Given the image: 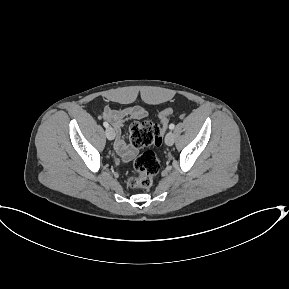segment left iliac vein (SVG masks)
I'll use <instances>...</instances> for the list:
<instances>
[{
    "label": "left iliac vein",
    "instance_id": "left-iliac-vein-1",
    "mask_svg": "<svg viewBox=\"0 0 289 289\" xmlns=\"http://www.w3.org/2000/svg\"><path fill=\"white\" fill-rule=\"evenodd\" d=\"M174 140H175V136L173 134V132H168L166 137H165V143L168 145V146H172L174 144Z\"/></svg>",
    "mask_w": 289,
    "mask_h": 289
}]
</instances>
